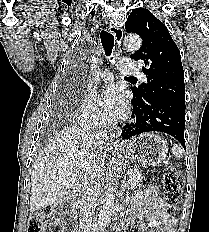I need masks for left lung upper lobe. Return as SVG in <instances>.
I'll list each match as a JSON object with an SVG mask.
<instances>
[{
	"label": "left lung upper lobe",
	"mask_w": 209,
	"mask_h": 232,
	"mask_svg": "<svg viewBox=\"0 0 209 232\" xmlns=\"http://www.w3.org/2000/svg\"><path fill=\"white\" fill-rule=\"evenodd\" d=\"M129 33L138 34L142 47L130 57L143 60L142 68L147 83L132 88L134 105L145 104L150 99L167 97L185 99L184 72L180 51L166 26L148 9H134L126 23Z\"/></svg>",
	"instance_id": "5c2ea615"
}]
</instances>
